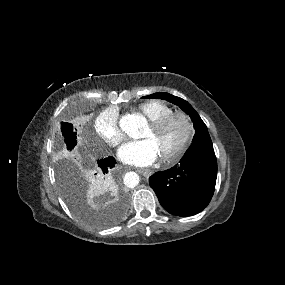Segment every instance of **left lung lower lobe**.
<instances>
[{
	"label": "left lung lower lobe",
	"mask_w": 285,
	"mask_h": 285,
	"mask_svg": "<svg viewBox=\"0 0 285 285\" xmlns=\"http://www.w3.org/2000/svg\"><path fill=\"white\" fill-rule=\"evenodd\" d=\"M216 178L217 161L210 142L189 149L180 164L155 173L149 182L166 211L191 216L209 204Z\"/></svg>",
	"instance_id": "1"
}]
</instances>
